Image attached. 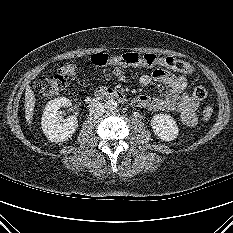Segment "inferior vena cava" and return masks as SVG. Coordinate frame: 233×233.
Returning a JSON list of instances; mask_svg holds the SVG:
<instances>
[{
	"mask_svg": "<svg viewBox=\"0 0 233 233\" xmlns=\"http://www.w3.org/2000/svg\"><path fill=\"white\" fill-rule=\"evenodd\" d=\"M105 109L106 105L99 101L89 104V113L95 117L102 115L105 112Z\"/></svg>",
	"mask_w": 233,
	"mask_h": 233,
	"instance_id": "inferior-vena-cava-1",
	"label": "inferior vena cava"
}]
</instances>
